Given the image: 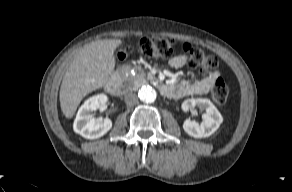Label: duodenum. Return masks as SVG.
<instances>
[{
  "mask_svg": "<svg viewBox=\"0 0 292 192\" xmlns=\"http://www.w3.org/2000/svg\"><path fill=\"white\" fill-rule=\"evenodd\" d=\"M106 89L109 93L113 95H118L121 92V79L120 75L118 73L114 74L112 78L109 80V82L106 85ZM168 89V85H162L161 91L165 93Z\"/></svg>",
  "mask_w": 292,
  "mask_h": 192,
  "instance_id": "duodenum-1",
  "label": "duodenum"
}]
</instances>
